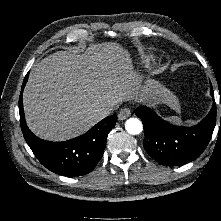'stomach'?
<instances>
[{"mask_svg": "<svg viewBox=\"0 0 221 221\" xmlns=\"http://www.w3.org/2000/svg\"><path fill=\"white\" fill-rule=\"evenodd\" d=\"M146 92L157 107L168 106L172 109L177 108L175 97L163 86L154 80H149L146 83Z\"/></svg>", "mask_w": 221, "mask_h": 221, "instance_id": "stomach-1", "label": "stomach"}]
</instances>
